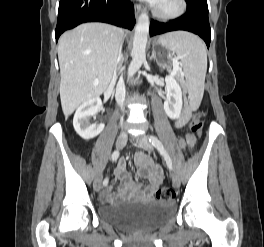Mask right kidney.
I'll return each instance as SVG.
<instances>
[{
    "mask_svg": "<svg viewBox=\"0 0 264 247\" xmlns=\"http://www.w3.org/2000/svg\"><path fill=\"white\" fill-rule=\"evenodd\" d=\"M100 109H102V102L99 98L90 99L77 108L73 118V126L77 134L83 139H92L103 131L104 124H91L89 122V119L95 116Z\"/></svg>",
    "mask_w": 264,
    "mask_h": 247,
    "instance_id": "1",
    "label": "right kidney"
}]
</instances>
